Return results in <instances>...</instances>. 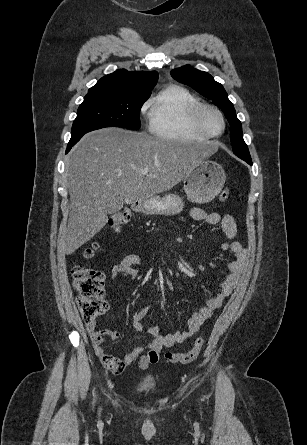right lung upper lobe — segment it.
I'll use <instances>...</instances> for the list:
<instances>
[{"label": "right lung upper lobe", "mask_w": 307, "mask_h": 445, "mask_svg": "<svg viewBox=\"0 0 307 445\" xmlns=\"http://www.w3.org/2000/svg\"><path fill=\"white\" fill-rule=\"evenodd\" d=\"M157 81L158 73L156 71L117 70L102 77L96 85L88 90L86 96L112 95L149 98Z\"/></svg>", "instance_id": "right-lung-upper-lobe-1"}]
</instances>
